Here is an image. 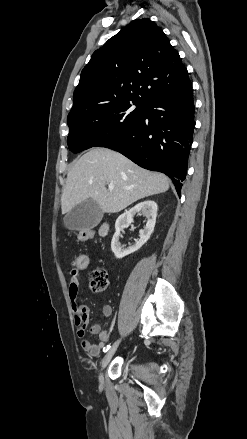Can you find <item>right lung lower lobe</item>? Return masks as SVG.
I'll return each mask as SVG.
<instances>
[{"label":"right lung lower lobe","mask_w":247,"mask_h":439,"mask_svg":"<svg viewBox=\"0 0 247 439\" xmlns=\"http://www.w3.org/2000/svg\"><path fill=\"white\" fill-rule=\"evenodd\" d=\"M195 127L192 84L146 104L143 118L107 148L137 165L165 173L180 197Z\"/></svg>","instance_id":"98d812e1"}]
</instances>
